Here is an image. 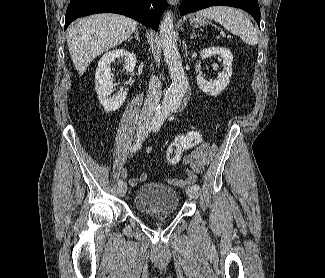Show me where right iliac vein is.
<instances>
[{
  "label": "right iliac vein",
  "instance_id": "right-iliac-vein-1",
  "mask_svg": "<svg viewBox=\"0 0 325 278\" xmlns=\"http://www.w3.org/2000/svg\"><path fill=\"white\" fill-rule=\"evenodd\" d=\"M143 131L144 129L142 127H139L137 129V136L140 137L142 134H143ZM117 192L120 196H124L127 192V185L124 184V185H120L118 188H117Z\"/></svg>",
  "mask_w": 325,
  "mask_h": 278
}]
</instances>
